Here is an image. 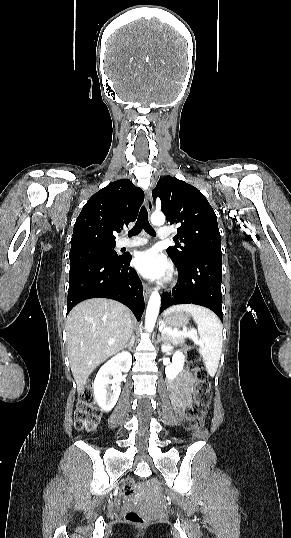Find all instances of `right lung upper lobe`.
Here are the masks:
<instances>
[{"mask_svg":"<svg viewBox=\"0 0 291 538\" xmlns=\"http://www.w3.org/2000/svg\"><path fill=\"white\" fill-rule=\"evenodd\" d=\"M144 192L129 179L110 183L83 206L74 224L71 249L90 245H115L114 231L135 221Z\"/></svg>","mask_w":291,"mask_h":538,"instance_id":"cb5924a9","label":"right lung upper lobe"}]
</instances>
